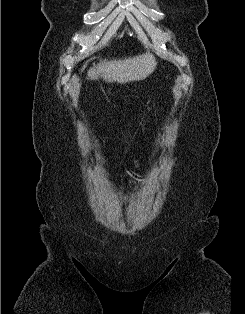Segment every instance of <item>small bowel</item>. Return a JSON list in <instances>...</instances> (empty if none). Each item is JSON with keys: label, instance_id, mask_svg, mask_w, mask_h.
Masks as SVG:
<instances>
[{"label": "small bowel", "instance_id": "1", "mask_svg": "<svg viewBox=\"0 0 245 314\" xmlns=\"http://www.w3.org/2000/svg\"><path fill=\"white\" fill-rule=\"evenodd\" d=\"M138 167H139L138 163H137V162H135V163H134V168L137 170V169H138Z\"/></svg>", "mask_w": 245, "mask_h": 314}]
</instances>
